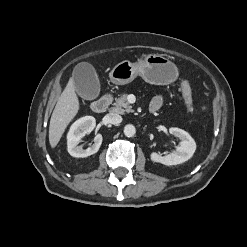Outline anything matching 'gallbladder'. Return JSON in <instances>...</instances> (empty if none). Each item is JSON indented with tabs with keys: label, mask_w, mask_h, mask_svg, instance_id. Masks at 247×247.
I'll use <instances>...</instances> for the list:
<instances>
[{
	"label": "gallbladder",
	"mask_w": 247,
	"mask_h": 247,
	"mask_svg": "<svg viewBox=\"0 0 247 247\" xmlns=\"http://www.w3.org/2000/svg\"><path fill=\"white\" fill-rule=\"evenodd\" d=\"M73 81L76 92L86 100H93L100 93V83L94 67L87 63L77 64L73 70Z\"/></svg>",
	"instance_id": "1"
}]
</instances>
